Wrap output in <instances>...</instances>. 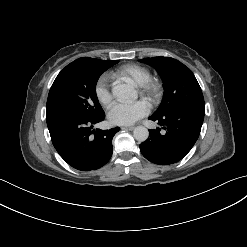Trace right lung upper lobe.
I'll list each match as a JSON object with an SVG mask.
<instances>
[{
  "instance_id": "cb5924a9",
  "label": "right lung upper lobe",
  "mask_w": 247,
  "mask_h": 247,
  "mask_svg": "<svg viewBox=\"0 0 247 247\" xmlns=\"http://www.w3.org/2000/svg\"><path fill=\"white\" fill-rule=\"evenodd\" d=\"M92 60H94V58L82 57V58L76 59L72 63L88 62V61H92Z\"/></svg>"
}]
</instances>
